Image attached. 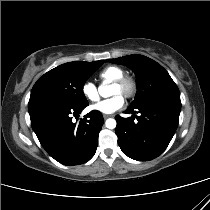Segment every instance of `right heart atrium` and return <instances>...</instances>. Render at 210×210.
Returning a JSON list of instances; mask_svg holds the SVG:
<instances>
[{"mask_svg": "<svg viewBox=\"0 0 210 210\" xmlns=\"http://www.w3.org/2000/svg\"><path fill=\"white\" fill-rule=\"evenodd\" d=\"M81 93L88 102H95L99 99L98 87L90 80H85L82 83Z\"/></svg>", "mask_w": 210, "mask_h": 210, "instance_id": "right-heart-atrium-1", "label": "right heart atrium"}]
</instances>
